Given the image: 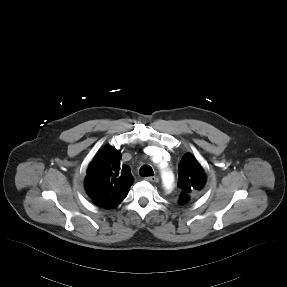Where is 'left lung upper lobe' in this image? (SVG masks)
Segmentation results:
<instances>
[{
    "label": "left lung upper lobe",
    "instance_id": "1",
    "mask_svg": "<svg viewBox=\"0 0 287 287\" xmlns=\"http://www.w3.org/2000/svg\"><path fill=\"white\" fill-rule=\"evenodd\" d=\"M205 174L196 158L186 153L179 164V182L181 189L180 202L183 203L189 198V194L201 190L205 184Z\"/></svg>",
    "mask_w": 287,
    "mask_h": 287
}]
</instances>
